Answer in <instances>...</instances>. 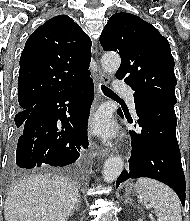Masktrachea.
<instances>
[{"mask_svg":"<svg viewBox=\"0 0 190 221\" xmlns=\"http://www.w3.org/2000/svg\"><path fill=\"white\" fill-rule=\"evenodd\" d=\"M101 89L105 95H115V93L111 89L104 85L101 86Z\"/></svg>","mask_w":190,"mask_h":221,"instance_id":"3493384b","label":"trachea"}]
</instances>
